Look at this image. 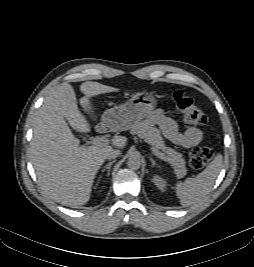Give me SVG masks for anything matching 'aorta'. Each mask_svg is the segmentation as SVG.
<instances>
[{"mask_svg": "<svg viewBox=\"0 0 254 267\" xmlns=\"http://www.w3.org/2000/svg\"><path fill=\"white\" fill-rule=\"evenodd\" d=\"M127 166L131 170H138L141 166V158L138 154L133 153L127 160Z\"/></svg>", "mask_w": 254, "mask_h": 267, "instance_id": "1", "label": "aorta"}]
</instances>
